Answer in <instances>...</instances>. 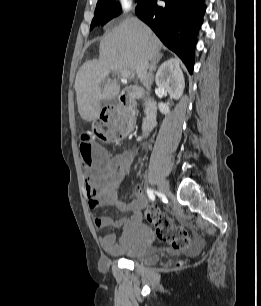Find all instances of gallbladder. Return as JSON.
<instances>
[{
	"instance_id": "gallbladder-1",
	"label": "gallbladder",
	"mask_w": 261,
	"mask_h": 306,
	"mask_svg": "<svg viewBox=\"0 0 261 306\" xmlns=\"http://www.w3.org/2000/svg\"><path fill=\"white\" fill-rule=\"evenodd\" d=\"M108 83V80H105L103 83H102V86L106 85Z\"/></svg>"
}]
</instances>
